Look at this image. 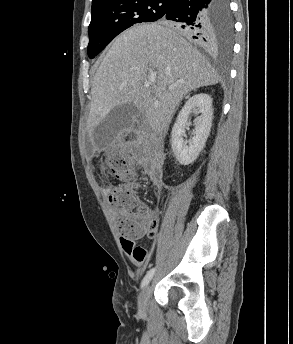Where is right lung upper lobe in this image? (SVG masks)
I'll list each match as a JSON object with an SVG mask.
<instances>
[{
    "instance_id": "obj_1",
    "label": "right lung upper lobe",
    "mask_w": 293,
    "mask_h": 344,
    "mask_svg": "<svg viewBox=\"0 0 293 344\" xmlns=\"http://www.w3.org/2000/svg\"><path fill=\"white\" fill-rule=\"evenodd\" d=\"M115 0H93L92 1V8L96 7L98 4L104 3V2H111Z\"/></svg>"
}]
</instances>
